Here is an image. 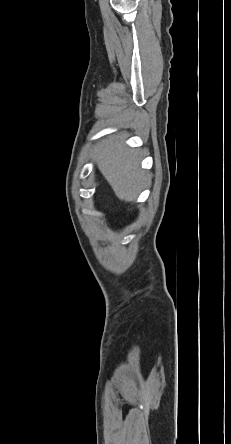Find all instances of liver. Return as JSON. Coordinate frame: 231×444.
I'll return each instance as SVG.
<instances>
[{
  "label": "liver",
  "mask_w": 231,
  "mask_h": 444,
  "mask_svg": "<svg viewBox=\"0 0 231 444\" xmlns=\"http://www.w3.org/2000/svg\"><path fill=\"white\" fill-rule=\"evenodd\" d=\"M123 143V138L111 137L100 144L95 157L115 195L129 202L136 199L149 176L139 168V152L126 148Z\"/></svg>",
  "instance_id": "6515ba94"
}]
</instances>
